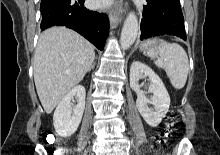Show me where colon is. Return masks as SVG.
<instances>
[{
    "instance_id": "5ec220e1",
    "label": "colon",
    "mask_w": 220,
    "mask_h": 155,
    "mask_svg": "<svg viewBox=\"0 0 220 155\" xmlns=\"http://www.w3.org/2000/svg\"><path fill=\"white\" fill-rule=\"evenodd\" d=\"M177 125V121L175 120V117L174 115H171L170 116V124H169V131H173L174 130V127ZM159 137H160V142H162L163 144L165 142H167V138L170 137V134L169 133H160L159 134Z\"/></svg>"
}]
</instances>
